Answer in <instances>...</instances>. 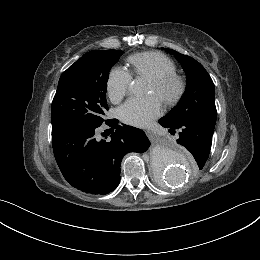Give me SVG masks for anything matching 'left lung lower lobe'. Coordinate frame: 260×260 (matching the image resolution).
Returning a JSON list of instances; mask_svg holds the SVG:
<instances>
[{
	"instance_id": "1",
	"label": "left lung lower lobe",
	"mask_w": 260,
	"mask_h": 260,
	"mask_svg": "<svg viewBox=\"0 0 260 260\" xmlns=\"http://www.w3.org/2000/svg\"><path fill=\"white\" fill-rule=\"evenodd\" d=\"M159 123L163 127L169 128V132L172 134H175L176 131L179 132L177 143L184 146L193 155L199 169H202L211 150L214 127L195 119L172 123L165 116L159 120Z\"/></svg>"
}]
</instances>
